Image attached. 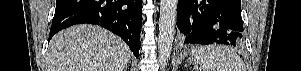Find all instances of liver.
I'll use <instances>...</instances> for the list:
<instances>
[{"instance_id": "1", "label": "liver", "mask_w": 301, "mask_h": 71, "mask_svg": "<svg viewBox=\"0 0 301 71\" xmlns=\"http://www.w3.org/2000/svg\"><path fill=\"white\" fill-rule=\"evenodd\" d=\"M132 56L120 37L94 25H77L50 41L46 71H123Z\"/></svg>"}]
</instances>
